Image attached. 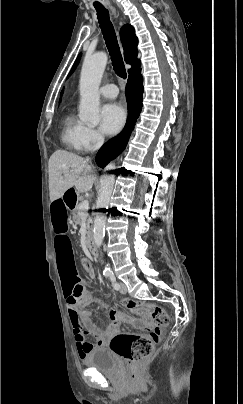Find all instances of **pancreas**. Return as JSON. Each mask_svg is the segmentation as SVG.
<instances>
[{"instance_id": "obj_1", "label": "pancreas", "mask_w": 243, "mask_h": 404, "mask_svg": "<svg viewBox=\"0 0 243 404\" xmlns=\"http://www.w3.org/2000/svg\"><path fill=\"white\" fill-rule=\"evenodd\" d=\"M80 206L81 204H78L77 208H75L74 212H73V222H75V224H77V226H81L82 222H83V218H85V222H86V230H88V232H86L88 238L91 234V228H90V224H91V218L90 216H88L87 212H85V210H80Z\"/></svg>"}]
</instances>
